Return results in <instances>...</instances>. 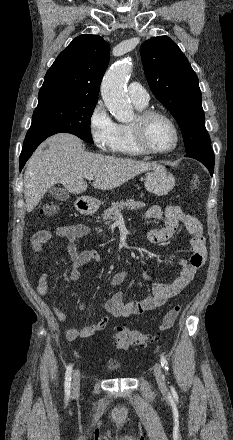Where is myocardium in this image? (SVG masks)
I'll list each match as a JSON object with an SVG mask.
<instances>
[{"mask_svg": "<svg viewBox=\"0 0 233 440\" xmlns=\"http://www.w3.org/2000/svg\"><path fill=\"white\" fill-rule=\"evenodd\" d=\"M162 118L166 120L174 131L175 140L169 149L166 150H156L152 148L147 140V128L149 123L154 118ZM130 129L134 137L137 147L144 153L148 155H164L173 152L179 145L180 142V132L175 121L166 113L156 110V109H144L141 110L135 119V122L130 124Z\"/></svg>", "mask_w": 233, "mask_h": 440, "instance_id": "1", "label": "myocardium"}]
</instances>
